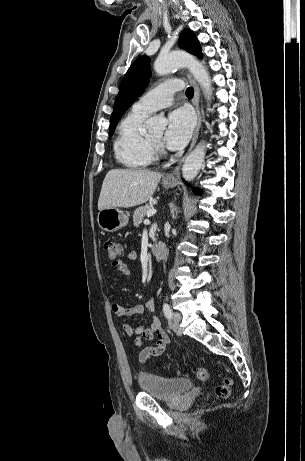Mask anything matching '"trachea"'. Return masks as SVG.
Wrapping results in <instances>:
<instances>
[{
	"mask_svg": "<svg viewBox=\"0 0 305 461\" xmlns=\"http://www.w3.org/2000/svg\"><path fill=\"white\" fill-rule=\"evenodd\" d=\"M193 95H194V89L192 87H188L186 89V96L191 98V97H193Z\"/></svg>",
	"mask_w": 305,
	"mask_h": 461,
	"instance_id": "3493384b",
	"label": "trachea"
}]
</instances>
